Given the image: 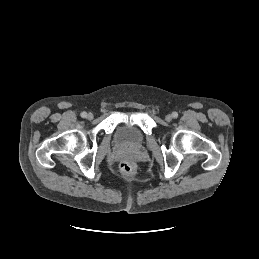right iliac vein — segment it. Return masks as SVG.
<instances>
[{"label": "right iliac vein", "instance_id": "right-iliac-vein-1", "mask_svg": "<svg viewBox=\"0 0 259 259\" xmlns=\"http://www.w3.org/2000/svg\"><path fill=\"white\" fill-rule=\"evenodd\" d=\"M86 117L88 120H92L94 116L92 113H88Z\"/></svg>", "mask_w": 259, "mask_h": 259}]
</instances>
